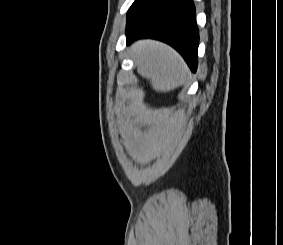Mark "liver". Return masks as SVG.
I'll use <instances>...</instances> for the list:
<instances>
[{
    "instance_id": "liver-1",
    "label": "liver",
    "mask_w": 283,
    "mask_h": 245,
    "mask_svg": "<svg viewBox=\"0 0 283 245\" xmlns=\"http://www.w3.org/2000/svg\"><path fill=\"white\" fill-rule=\"evenodd\" d=\"M137 72L149 79L157 92H169L186 81L189 69L179 54L168 45L143 40L133 46Z\"/></svg>"
}]
</instances>
